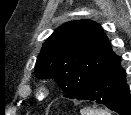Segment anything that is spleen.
Wrapping results in <instances>:
<instances>
[{"mask_svg": "<svg viewBox=\"0 0 131 115\" xmlns=\"http://www.w3.org/2000/svg\"><path fill=\"white\" fill-rule=\"evenodd\" d=\"M80 113L81 115H110V113L105 110H93L88 108L81 109Z\"/></svg>", "mask_w": 131, "mask_h": 115, "instance_id": "1", "label": "spleen"}]
</instances>
